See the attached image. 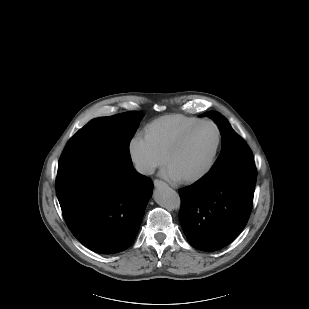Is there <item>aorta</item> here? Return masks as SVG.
Segmentation results:
<instances>
[{"instance_id":"762f6f07","label":"aorta","mask_w":309,"mask_h":309,"mask_svg":"<svg viewBox=\"0 0 309 309\" xmlns=\"http://www.w3.org/2000/svg\"><path fill=\"white\" fill-rule=\"evenodd\" d=\"M153 198L159 206L167 210H177L181 205L179 194L166 184L154 190Z\"/></svg>"}]
</instances>
